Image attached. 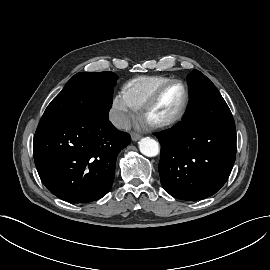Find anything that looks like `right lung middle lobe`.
I'll use <instances>...</instances> for the list:
<instances>
[{"label": "right lung middle lobe", "mask_w": 270, "mask_h": 270, "mask_svg": "<svg viewBox=\"0 0 270 270\" xmlns=\"http://www.w3.org/2000/svg\"><path fill=\"white\" fill-rule=\"evenodd\" d=\"M117 78L112 72L75 74L50 102L42 118L81 117L110 110Z\"/></svg>", "instance_id": "dd1d6c3e"}]
</instances>
